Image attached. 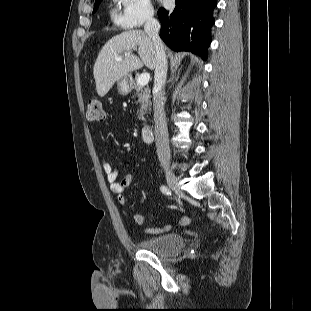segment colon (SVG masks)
<instances>
[{
    "instance_id": "1",
    "label": "colon",
    "mask_w": 311,
    "mask_h": 311,
    "mask_svg": "<svg viewBox=\"0 0 311 311\" xmlns=\"http://www.w3.org/2000/svg\"><path fill=\"white\" fill-rule=\"evenodd\" d=\"M87 118L90 121H102L104 112L102 103L99 99H91L87 105Z\"/></svg>"
}]
</instances>
